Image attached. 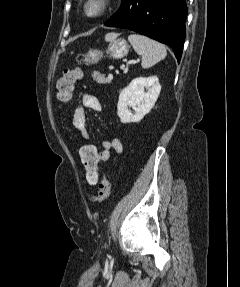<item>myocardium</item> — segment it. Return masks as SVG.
<instances>
[{
	"label": "myocardium",
	"instance_id": "myocardium-1",
	"mask_svg": "<svg viewBox=\"0 0 240 287\" xmlns=\"http://www.w3.org/2000/svg\"><path fill=\"white\" fill-rule=\"evenodd\" d=\"M92 4L97 5V10L95 12H90L89 7ZM111 0H85L83 5L84 13L91 18H99L106 14L110 8Z\"/></svg>",
	"mask_w": 240,
	"mask_h": 287
}]
</instances>
